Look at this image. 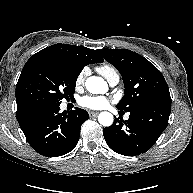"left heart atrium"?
Here are the masks:
<instances>
[{"label":"left heart atrium","instance_id":"39dd6f15","mask_svg":"<svg viewBox=\"0 0 193 193\" xmlns=\"http://www.w3.org/2000/svg\"><path fill=\"white\" fill-rule=\"evenodd\" d=\"M79 104L87 109L100 110L108 105V99L104 96H84Z\"/></svg>","mask_w":193,"mask_h":193}]
</instances>
